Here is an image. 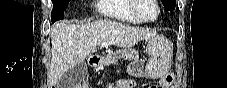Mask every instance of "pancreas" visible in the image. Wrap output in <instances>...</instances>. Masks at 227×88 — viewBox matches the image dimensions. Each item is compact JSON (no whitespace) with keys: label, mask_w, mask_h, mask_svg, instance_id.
<instances>
[{"label":"pancreas","mask_w":227,"mask_h":88,"mask_svg":"<svg viewBox=\"0 0 227 88\" xmlns=\"http://www.w3.org/2000/svg\"><path fill=\"white\" fill-rule=\"evenodd\" d=\"M119 59H126L132 61L139 60V53L135 49H121L113 54L107 55L103 58L102 66H109L113 63H116Z\"/></svg>","instance_id":"pancreas-1"}]
</instances>
